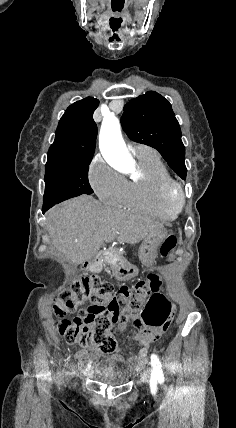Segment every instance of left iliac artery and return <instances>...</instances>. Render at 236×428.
Here are the masks:
<instances>
[{
	"label": "left iliac artery",
	"instance_id": "1",
	"mask_svg": "<svg viewBox=\"0 0 236 428\" xmlns=\"http://www.w3.org/2000/svg\"><path fill=\"white\" fill-rule=\"evenodd\" d=\"M151 365L153 367L152 373H151V377H163V371L161 369V362L159 361V359L157 358L156 355L152 354L151 355Z\"/></svg>",
	"mask_w": 236,
	"mask_h": 428
}]
</instances>
